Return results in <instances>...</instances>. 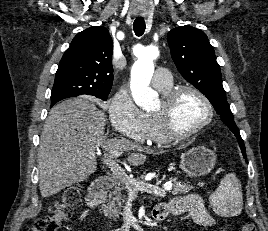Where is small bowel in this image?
Wrapping results in <instances>:
<instances>
[{"instance_id": "1", "label": "small bowel", "mask_w": 268, "mask_h": 231, "mask_svg": "<svg viewBox=\"0 0 268 231\" xmlns=\"http://www.w3.org/2000/svg\"><path fill=\"white\" fill-rule=\"evenodd\" d=\"M168 214H188L197 224L202 226H211L214 222L203 200L197 194L173 197L167 204L160 205L153 210V216L157 220L164 219Z\"/></svg>"}]
</instances>
